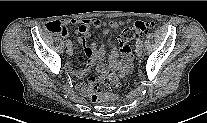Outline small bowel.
<instances>
[{"label": "small bowel", "mask_w": 207, "mask_h": 123, "mask_svg": "<svg viewBox=\"0 0 207 123\" xmlns=\"http://www.w3.org/2000/svg\"><path fill=\"white\" fill-rule=\"evenodd\" d=\"M61 23H62V30L60 31V33L64 37L68 36L71 25L78 26L79 42L83 44L86 55L89 58V62L87 63L84 70L73 72V74L77 78L82 79L86 75H88L90 68L93 66L95 62L98 64L103 63L105 58L104 47H97L95 44H91L87 46L85 44V40L89 36V27L91 25L90 20L73 19V20H66ZM120 26L121 23L119 21H111L109 23L108 30H118ZM108 51H109L108 54L109 65L112 70L119 71L122 74L130 70L132 61H131V55L129 49L125 53H123V60L121 62H119L118 52L111 41L108 42ZM68 68L70 69L71 66L68 65ZM77 89L83 95H89L91 92V84L80 83L78 84Z\"/></svg>", "instance_id": "c3829d8e"}]
</instances>
